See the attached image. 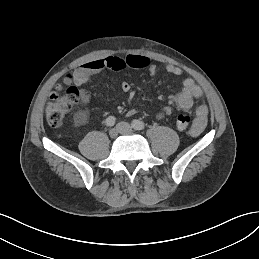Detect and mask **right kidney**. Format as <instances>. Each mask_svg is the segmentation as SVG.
<instances>
[{
    "mask_svg": "<svg viewBox=\"0 0 259 259\" xmlns=\"http://www.w3.org/2000/svg\"><path fill=\"white\" fill-rule=\"evenodd\" d=\"M74 121L76 125H82L87 123V112L79 111L74 115Z\"/></svg>",
    "mask_w": 259,
    "mask_h": 259,
    "instance_id": "obj_1",
    "label": "right kidney"
}]
</instances>
